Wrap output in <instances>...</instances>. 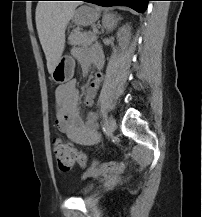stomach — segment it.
I'll return each instance as SVG.
<instances>
[{
  "label": "stomach",
  "mask_w": 202,
  "mask_h": 217,
  "mask_svg": "<svg viewBox=\"0 0 202 217\" xmlns=\"http://www.w3.org/2000/svg\"><path fill=\"white\" fill-rule=\"evenodd\" d=\"M99 18L97 9L91 6H81L75 10L73 15V22L78 26L93 25ZM74 74V61L68 57H61L51 74L52 79L58 83L63 84L69 81Z\"/></svg>",
  "instance_id": "0dacf381"
}]
</instances>
